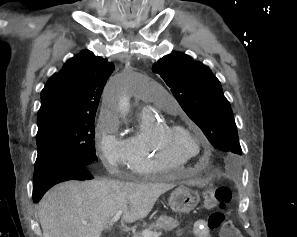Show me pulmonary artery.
<instances>
[{"mask_svg": "<svg viewBox=\"0 0 297 237\" xmlns=\"http://www.w3.org/2000/svg\"><path fill=\"white\" fill-rule=\"evenodd\" d=\"M155 102L164 109L169 111H176L178 104L175 99L170 95L165 93L164 95L158 97Z\"/></svg>", "mask_w": 297, "mask_h": 237, "instance_id": "obj_1", "label": "pulmonary artery"}]
</instances>
